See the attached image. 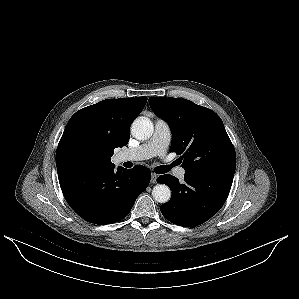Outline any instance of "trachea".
I'll list each match as a JSON object with an SVG mask.
<instances>
[{
  "instance_id": "1",
  "label": "trachea",
  "mask_w": 299,
  "mask_h": 299,
  "mask_svg": "<svg viewBox=\"0 0 299 299\" xmlns=\"http://www.w3.org/2000/svg\"><path fill=\"white\" fill-rule=\"evenodd\" d=\"M170 170V166H159L155 168L157 174H163Z\"/></svg>"
}]
</instances>
